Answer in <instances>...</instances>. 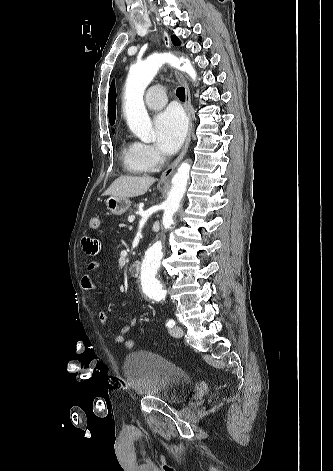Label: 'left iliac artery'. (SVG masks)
Segmentation results:
<instances>
[{
  "label": "left iliac artery",
  "mask_w": 333,
  "mask_h": 471,
  "mask_svg": "<svg viewBox=\"0 0 333 471\" xmlns=\"http://www.w3.org/2000/svg\"><path fill=\"white\" fill-rule=\"evenodd\" d=\"M175 325V321L173 319H170L167 321L166 326L169 328H172Z\"/></svg>",
  "instance_id": "44dca946"
}]
</instances>
